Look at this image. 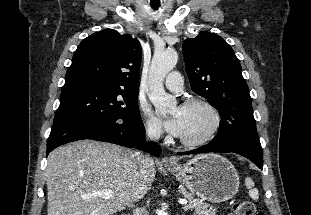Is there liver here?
<instances>
[{"label": "liver", "mask_w": 311, "mask_h": 215, "mask_svg": "<svg viewBox=\"0 0 311 215\" xmlns=\"http://www.w3.org/2000/svg\"><path fill=\"white\" fill-rule=\"evenodd\" d=\"M133 152L114 144L78 141L59 147L48 156L47 215H113L143 198L156 171L150 156L138 165ZM111 190L103 199L94 192Z\"/></svg>", "instance_id": "liver-1"}]
</instances>
